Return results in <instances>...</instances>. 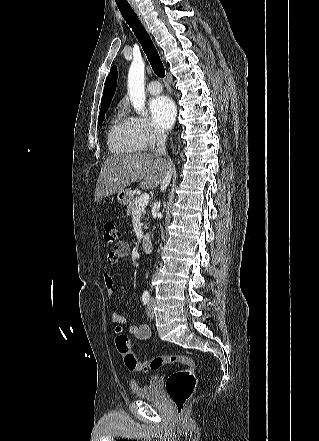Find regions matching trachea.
<instances>
[{
  "instance_id": "3493384b",
  "label": "trachea",
  "mask_w": 319,
  "mask_h": 441,
  "mask_svg": "<svg viewBox=\"0 0 319 441\" xmlns=\"http://www.w3.org/2000/svg\"><path fill=\"white\" fill-rule=\"evenodd\" d=\"M118 8L124 20L130 26L139 43L141 44L154 73L160 78L165 77V68L160 59V56L153 44L152 39L150 38L149 34L142 25L136 13L133 11L131 6L118 5Z\"/></svg>"
}]
</instances>
